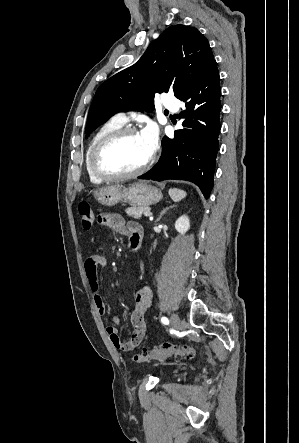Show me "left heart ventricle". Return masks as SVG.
<instances>
[{"label":"left heart ventricle","instance_id":"1","mask_svg":"<svg viewBox=\"0 0 299 443\" xmlns=\"http://www.w3.org/2000/svg\"><path fill=\"white\" fill-rule=\"evenodd\" d=\"M149 157L141 134L122 137L104 149L100 156L103 168L114 173H123L140 167Z\"/></svg>","mask_w":299,"mask_h":443}]
</instances>
